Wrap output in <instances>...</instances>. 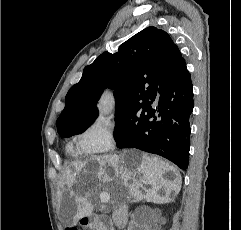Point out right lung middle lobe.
<instances>
[{"instance_id": "dd1d6c3e", "label": "right lung middle lobe", "mask_w": 241, "mask_h": 230, "mask_svg": "<svg viewBox=\"0 0 241 230\" xmlns=\"http://www.w3.org/2000/svg\"><path fill=\"white\" fill-rule=\"evenodd\" d=\"M149 102V101H148ZM148 102L129 108L115 110L114 138L117 144L124 143L129 135L138 131L147 121ZM95 120L78 124L68 130L58 132L62 137H70L85 131Z\"/></svg>"}]
</instances>
